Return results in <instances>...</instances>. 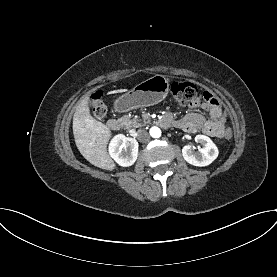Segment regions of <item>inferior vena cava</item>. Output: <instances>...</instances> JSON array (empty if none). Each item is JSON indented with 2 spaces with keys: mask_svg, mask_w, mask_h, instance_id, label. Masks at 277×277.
Instances as JSON below:
<instances>
[{
  "mask_svg": "<svg viewBox=\"0 0 277 277\" xmlns=\"http://www.w3.org/2000/svg\"><path fill=\"white\" fill-rule=\"evenodd\" d=\"M137 138L140 142H148L150 139V135L146 130L140 129L137 132Z\"/></svg>",
  "mask_w": 277,
  "mask_h": 277,
  "instance_id": "1",
  "label": "inferior vena cava"
}]
</instances>
